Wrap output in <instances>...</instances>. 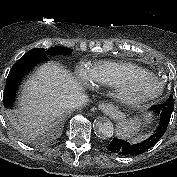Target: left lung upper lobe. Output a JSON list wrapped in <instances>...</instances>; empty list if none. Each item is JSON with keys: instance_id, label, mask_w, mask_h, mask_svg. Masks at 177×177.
Here are the masks:
<instances>
[{"instance_id": "5c2ea615", "label": "left lung upper lobe", "mask_w": 177, "mask_h": 177, "mask_svg": "<svg viewBox=\"0 0 177 177\" xmlns=\"http://www.w3.org/2000/svg\"><path fill=\"white\" fill-rule=\"evenodd\" d=\"M165 103L171 104L174 107V98L172 97V95L168 98V100Z\"/></svg>"}]
</instances>
